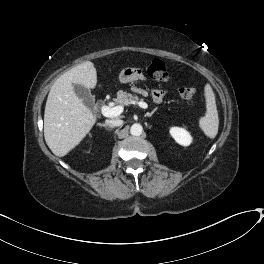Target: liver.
Listing matches in <instances>:
<instances>
[{
    "mask_svg": "<svg viewBox=\"0 0 264 264\" xmlns=\"http://www.w3.org/2000/svg\"><path fill=\"white\" fill-rule=\"evenodd\" d=\"M73 84L93 89L97 71L85 61L61 75L52 85L44 113V137L50 150L59 157L68 154L90 132L96 116L76 95Z\"/></svg>",
    "mask_w": 264,
    "mask_h": 264,
    "instance_id": "6515ba94",
    "label": "liver"
}]
</instances>
